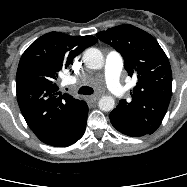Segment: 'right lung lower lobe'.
Segmentation results:
<instances>
[{
    "instance_id": "obj_1",
    "label": "right lung lower lobe",
    "mask_w": 187,
    "mask_h": 187,
    "mask_svg": "<svg viewBox=\"0 0 187 187\" xmlns=\"http://www.w3.org/2000/svg\"><path fill=\"white\" fill-rule=\"evenodd\" d=\"M88 115V106L86 105L72 125L58 137L46 144L55 147H66L77 142L84 134Z\"/></svg>"
}]
</instances>
